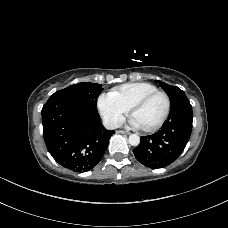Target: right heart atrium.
I'll return each instance as SVG.
<instances>
[{
	"label": "right heart atrium",
	"instance_id": "1",
	"mask_svg": "<svg viewBox=\"0 0 228 228\" xmlns=\"http://www.w3.org/2000/svg\"><path fill=\"white\" fill-rule=\"evenodd\" d=\"M98 110L109 127H115L127 114L128 109L120 104L111 93H102L97 99Z\"/></svg>",
	"mask_w": 228,
	"mask_h": 228
}]
</instances>
